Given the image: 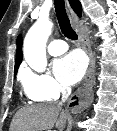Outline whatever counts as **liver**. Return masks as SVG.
<instances>
[{"label": "liver", "mask_w": 117, "mask_h": 131, "mask_svg": "<svg viewBox=\"0 0 117 131\" xmlns=\"http://www.w3.org/2000/svg\"><path fill=\"white\" fill-rule=\"evenodd\" d=\"M68 114L56 104H41L20 109L14 116L10 131H46L54 125L63 129Z\"/></svg>", "instance_id": "6515ba94"}]
</instances>
